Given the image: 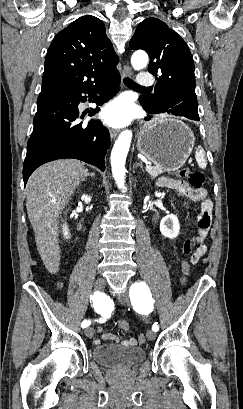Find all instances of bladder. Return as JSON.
I'll return each instance as SVG.
<instances>
[{
  "instance_id": "31cf9c89",
  "label": "bladder",
  "mask_w": 243,
  "mask_h": 409,
  "mask_svg": "<svg viewBox=\"0 0 243 409\" xmlns=\"http://www.w3.org/2000/svg\"><path fill=\"white\" fill-rule=\"evenodd\" d=\"M93 359L103 366L113 369H128L141 363L146 357L142 347H126L115 344L96 346Z\"/></svg>"
}]
</instances>
